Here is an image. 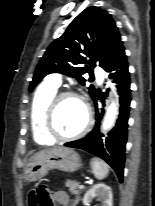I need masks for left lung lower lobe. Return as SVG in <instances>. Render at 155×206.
<instances>
[{
    "label": "left lung lower lobe",
    "instance_id": "0a47b994",
    "mask_svg": "<svg viewBox=\"0 0 155 206\" xmlns=\"http://www.w3.org/2000/svg\"><path fill=\"white\" fill-rule=\"evenodd\" d=\"M108 77L114 79L120 96V114L115 127L104 137L99 132L100 121L104 110L96 109V122L93 130L86 137L65 143L72 148H80L105 160L116 172L119 180L123 181V169L125 162V145L127 141V127L130 109V73L124 48H122L114 60L104 69ZM107 96V93H105ZM103 102V97L96 92L92 97Z\"/></svg>",
    "mask_w": 155,
    "mask_h": 206
}]
</instances>
